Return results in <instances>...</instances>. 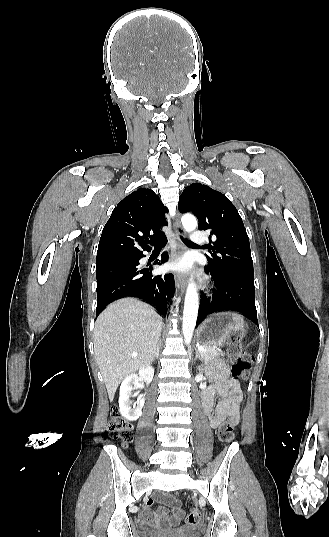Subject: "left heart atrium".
<instances>
[{
    "mask_svg": "<svg viewBox=\"0 0 329 537\" xmlns=\"http://www.w3.org/2000/svg\"><path fill=\"white\" fill-rule=\"evenodd\" d=\"M189 264V260L187 258H184L172 265L175 269H185Z\"/></svg>",
    "mask_w": 329,
    "mask_h": 537,
    "instance_id": "left-heart-atrium-1",
    "label": "left heart atrium"
}]
</instances>
